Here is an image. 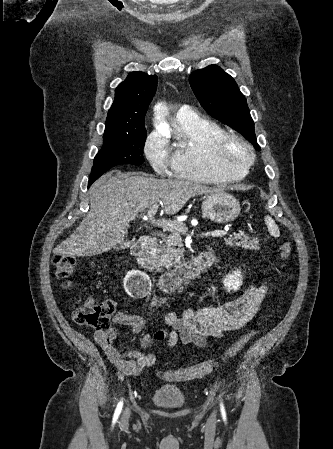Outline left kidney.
<instances>
[{
	"mask_svg": "<svg viewBox=\"0 0 333 449\" xmlns=\"http://www.w3.org/2000/svg\"><path fill=\"white\" fill-rule=\"evenodd\" d=\"M243 276L240 270H235L232 274H227L223 280L224 287L230 290H238L242 285Z\"/></svg>",
	"mask_w": 333,
	"mask_h": 449,
	"instance_id": "obj_1",
	"label": "left kidney"
}]
</instances>
